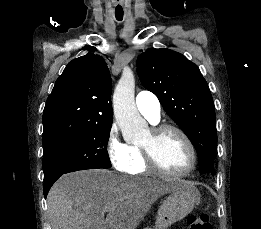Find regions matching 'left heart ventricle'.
<instances>
[{"label": "left heart ventricle", "mask_w": 261, "mask_h": 229, "mask_svg": "<svg viewBox=\"0 0 261 229\" xmlns=\"http://www.w3.org/2000/svg\"><path fill=\"white\" fill-rule=\"evenodd\" d=\"M149 135L143 143L148 140ZM156 156L161 165L171 172L185 171L191 162L190 152L180 135L167 132L156 144Z\"/></svg>", "instance_id": "obj_1"}]
</instances>
